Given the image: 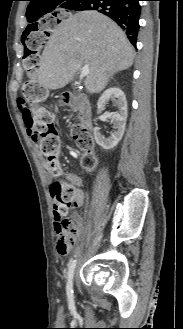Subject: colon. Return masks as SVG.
<instances>
[{"instance_id":"obj_1","label":"colon","mask_w":183,"mask_h":329,"mask_svg":"<svg viewBox=\"0 0 183 329\" xmlns=\"http://www.w3.org/2000/svg\"><path fill=\"white\" fill-rule=\"evenodd\" d=\"M60 21H70V14H43L42 19H35L34 25H26V31H20L23 44V67L29 79L23 85L24 96L18 97L19 114H29V127L33 139L39 144L43 156V168L47 174L55 177L51 184L54 217L64 229L66 240L73 244L76 229L66 217L72 206L76 205L75 183L62 177L59 165L60 140L54 124L53 114L36 104L42 95V87L36 81L40 65L39 51L51 32H56ZM77 144L85 150L81 159L83 168L90 171L95 166V157L91 152L92 138L81 127L75 128Z\"/></svg>"}]
</instances>
